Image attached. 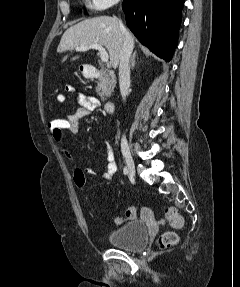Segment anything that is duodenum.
<instances>
[{
    "label": "duodenum",
    "instance_id": "duodenum-1",
    "mask_svg": "<svg viewBox=\"0 0 240 287\" xmlns=\"http://www.w3.org/2000/svg\"><path fill=\"white\" fill-rule=\"evenodd\" d=\"M83 73L86 78H95L99 74V69L91 64H85L83 65ZM115 102L114 101H106L104 108L106 112L113 113L115 110Z\"/></svg>",
    "mask_w": 240,
    "mask_h": 287
}]
</instances>
